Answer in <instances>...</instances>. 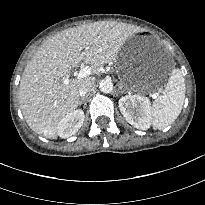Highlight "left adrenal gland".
<instances>
[{"label":"left adrenal gland","instance_id":"left-adrenal-gland-1","mask_svg":"<svg viewBox=\"0 0 205 205\" xmlns=\"http://www.w3.org/2000/svg\"><path fill=\"white\" fill-rule=\"evenodd\" d=\"M119 92H120V93H124V92H125V90H124V88L121 86V84H119Z\"/></svg>","mask_w":205,"mask_h":205}]
</instances>
